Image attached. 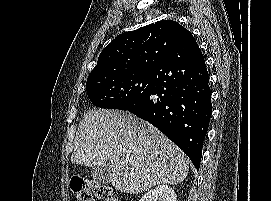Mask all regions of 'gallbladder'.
Masks as SVG:
<instances>
[{
	"mask_svg": "<svg viewBox=\"0 0 271 201\" xmlns=\"http://www.w3.org/2000/svg\"><path fill=\"white\" fill-rule=\"evenodd\" d=\"M111 165L109 163H105L100 166H95L91 169L90 175L94 182L109 184L111 181Z\"/></svg>",
	"mask_w": 271,
	"mask_h": 201,
	"instance_id": "bac80fb5",
	"label": "gallbladder"
}]
</instances>
